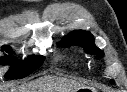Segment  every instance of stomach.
<instances>
[{
  "instance_id": "1",
  "label": "stomach",
  "mask_w": 127,
  "mask_h": 92,
  "mask_svg": "<svg viewBox=\"0 0 127 92\" xmlns=\"http://www.w3.org/2000/svg\"><path fill=\"white\" fill-rule=\"evenodd\" d=\"M80 91H81V92H85V91H89V89H87V88H82V89H80ZM92 92H95V91H92Z\"/></svg>"
}]
</instances>
